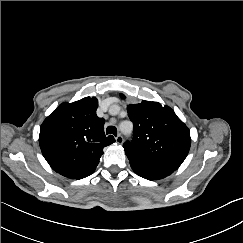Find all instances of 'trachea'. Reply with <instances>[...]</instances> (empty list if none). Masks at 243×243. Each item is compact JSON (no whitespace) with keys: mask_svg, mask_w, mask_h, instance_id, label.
I'll return each instance as SVG.
<instances>
[{"mask_svg":"<svg viewBox=\"0 0 243 243\" xmlns=\"http://www.w3.org/2000/svg\"><path fill=\"white\" fill-rule=\"evenodd\" d=\"M106 134H113L114 136L117 135V129L115 126H108L106 129Z\"/></svg>","mask_w":243,"mask_h":243,"instance_id":"trachea-1","label":"trachea"}]
</instances>
